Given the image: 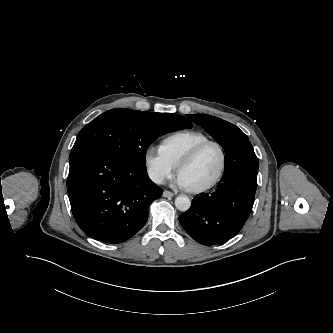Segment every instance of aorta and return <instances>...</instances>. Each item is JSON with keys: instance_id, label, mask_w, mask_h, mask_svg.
<instances>
[{"instance_id": "obj_1", "label": "aorta", "mask_w": 333, "mask_h": 333, "mask_svg": "<svg viewBox=\"0 0 333 333\" xmlns=\"http://www.w3.org/2000/svg\"><path fill=\"white\" fill-rule=\"evenodd\" d=\"M175 206L180 211H187L191 206V201L187 196H178L175 199Z\"/></svg>"}]
</instances>
